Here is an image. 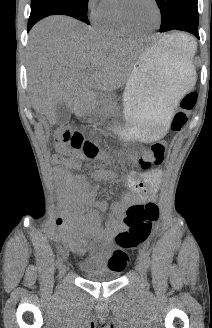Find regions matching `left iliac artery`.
I'll list each match as a JSON object with an SVG mask.
<instances>
[{
	"mask_svg": "<svg viewBox=\"0 0 212 328\" xmlns=\"http://www.w3.org/2000/svg\"><path fill=\"white\" fill-rule=\"evenodd\" d=\"M142 257H143V261L146 265V268H149L150 264H151L149 253H147V252L144 253Z\"/></svg>",
	"mask_w": 212,
	"mask_h": 328,
	"instance_id": "44dca946",
	"label": "left iliac artery"
}]
</instances>
